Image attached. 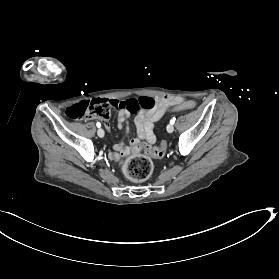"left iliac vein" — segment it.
<instances>
[{"label":"left iliac vein","instance_id":"4c4485c4","mask_svg":"<svg viewBox=\"0 0 279 279\" xmlns=\"http://www.w3.org/2000/svg\"><path fill=\"white\" fill-rule=\"evenodd\" d=\"M167 132L172 133L174 131V127L172 124L167 125Z\"/></svg>","mask_w":279,"mask_h":279}]
</instances>
